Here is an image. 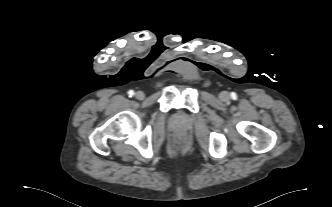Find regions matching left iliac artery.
Masks as SVG:
<instances>
[{
    "instance_id": "44dca946",
    "label": "left iliac artery",
    "mask_w": 332,
    "mask_h": 207,
    "mask_svg": "<svg viewBox=\"0 0 332 207\" xmlns=\"http://www.w3.org/2000/svg\"><path fill=\"white\" fill-rule=\"evenodd\" d=\"M232 98H236V94L234 92L231 93Z\"/></svg>"
}]
</instances>
